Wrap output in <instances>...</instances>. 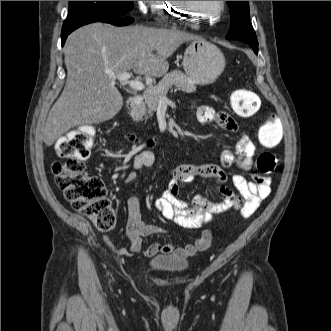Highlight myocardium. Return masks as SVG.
<instances>
[{
	"label": "myocardium",
	"instance_id": "1",
	"mask_svg": "<svg viewBox=\"0 0 331 331\" xmlns=\"http://www.w3.org/2000/svg\"><path fill=\"white\" fill-rule=\"evenodd\" d=\"M178 4L182 7V11H180V15L185 17L187 20H185L188 23H196L198 21H204L209 20L211 18L218 17L223 14L225 9V2L224 1H218L219 7L218 10L214 15H199L195 14L192 10V6L189 1H177Z\"/></svg>",
	"mask_w": 331,
	"mask_h": 331
}]
</instances>
